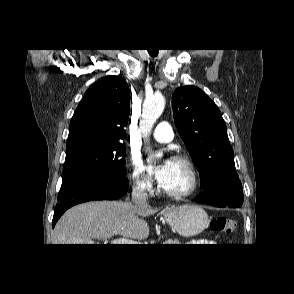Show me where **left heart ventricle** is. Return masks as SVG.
<instances>
[{
  "label": "left heart ventricle",
  "instance_id": "1",
  "mask_svg": "<svg viewBox=\"0 0 294 294\" xmlns=\"http://www.w3.org/2000/svg\"><path fill=\"white\" fill-rule=\"evenodd\" d=\"M190 184V175L185 166L173 161L171 170L161 186L172 192H180L188 188Z\"/></svg>",
  "mask_w": 294,
  "mask_h": 294
}]
</instances>
